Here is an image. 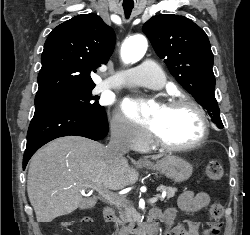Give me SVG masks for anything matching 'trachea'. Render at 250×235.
Segmentation results:
<instances>
[{"label":"trachea","mask_w":250,"mask_h":235,"mask_svg":"<svg viewBox=\"0 0 250 235\" xmlns=\"http://www.w3.org/2000/svg\"><path fill=\"white\" fill-rule=\"evenodd\" d=\"M133 5L132 6H125L123 5V9H124V12H125V17L128 19L131 15V12L133 10Z\"/></svg>","instance_id":"3493384b"}]
</instances>
